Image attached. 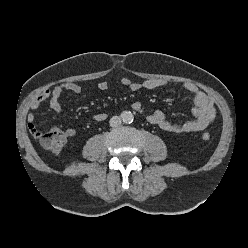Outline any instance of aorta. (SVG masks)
Returning a JSON list of instances; mask_svg holds the SVG:
<instances>
[{"label":"aorta","instance_id":"obj_1","mask_svg":"<svg viewBox=\"0 0 248 248\" xmlns=\"http://www.w3.org/2000/svg\"><path fill=\"white\" fill-rule=\"evenodd\" d=\"M122 121L124 123H131L133 121V114L130 111H124L121 114Z\"/></svg>","mask_w":248,"mask_h":248}]
</instances>
